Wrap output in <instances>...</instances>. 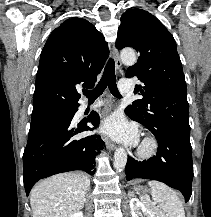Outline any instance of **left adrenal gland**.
Masks as SVG:
<instances>
[{
	"instance_id": "a2214340",
	"label": "left adrenal gland",
	"mask_w": 211,
	"mask_h": 217,
	"mask_svg": "<svg viewBox=\"0 0 211 217\" xmlns=\"http://www.w3.org/2000/svg\"><path fill=\"white\" fill-rule=\"evenodd\" d=\"M128 195L129 197H131V196H134V193L129 191Z\"/></svg>"
}]
</instances>
